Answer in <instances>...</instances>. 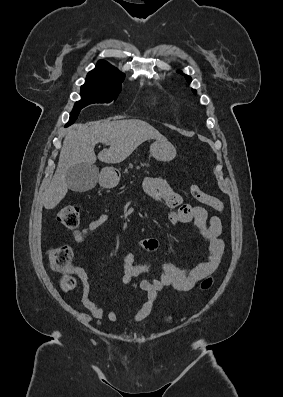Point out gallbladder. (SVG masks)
Listing matches in <instances>:
<instances>
[{
	"label": "gallbladder",
	"mask_w": 283,
	"mask_h": 397,
	"mask_svg": "<svg viewBox=\"0 0 283 397\" xmlns=\"http://www.w3.org/2000/svg\"><path fill=\"white\" fill-rule=\"evenodd\" d=\"M98 169L86 163L71 166L65 174L69 189L75 192L91 190L97 183Z\"/></svg>",
	"instance_id": "bac80fb5"
}]
</instances>
